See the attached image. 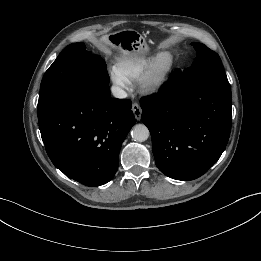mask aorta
<instances>
[{"label": "aorta", "instance_id": "aorta-1", "mask_svg": "<svg viewBox=\"0 0 261 261\" xmlns=\"http://www.w3.org/2000/svg\"><path fill=\"white\" fill-rule=\"evenodd\" d=\"M150 132L144 124H136L132 131L131 136L137 142H144L149 138Z\"/></svg>", "mask_w": 261, "mask_h": 261}]
</instances>
